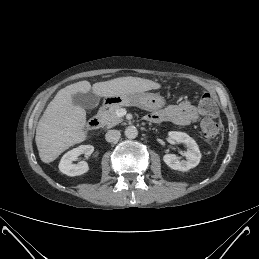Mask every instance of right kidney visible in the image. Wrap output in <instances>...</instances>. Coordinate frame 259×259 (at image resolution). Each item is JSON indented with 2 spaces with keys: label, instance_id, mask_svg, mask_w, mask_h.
Returning <instances> with one entry per match:
<instances>
[{
  "label": "right kidney",
  "instance_id": "1",
  "mask_svg": "<svg viewBox=\"0 0 259 259\" xmlns=\"http://www.w3.org/2000/svg\"><path fill=\"white\" fill-rule=\"evenodd\" d=\"M94 151L92 145H80L63 155L59 163V170L68 176H79L86 173L89 170V166L86 161H80L74 164L78 156L84 154L88 158Z\"/></svg>",
  "mask_w": 259,
  "mask_h": 259
}]
</instances>
